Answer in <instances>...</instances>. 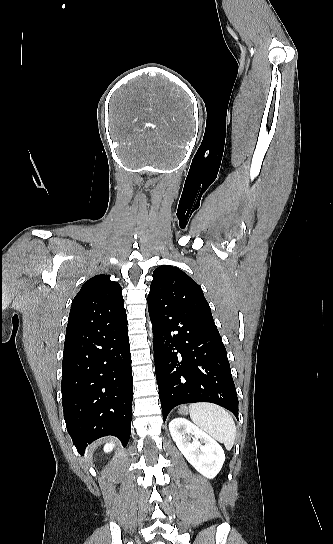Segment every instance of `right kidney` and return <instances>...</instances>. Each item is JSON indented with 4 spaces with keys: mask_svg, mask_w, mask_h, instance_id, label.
<instances>
[{
    "mask_svg": "<svg viewBox=\"0 0 333 544\" xmlns=\"http://www.w3.org/2000/svg\"><path fill=\"white\" fill-rule=\"evenodd\" d=\"M113 448H114V444H113V443H107V444L104 446V451H105L106 453H108V452L112 451Z\"/></svg>",
    "mask_w": 333,
    "mask_h": 544,
    "instance_id": "ca27d5eb",
    "label": "right kidney"
}]
</instances>
